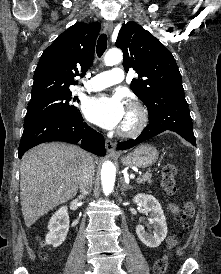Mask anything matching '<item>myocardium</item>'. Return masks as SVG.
<instances>
[{
    "label": "myocardium",
    "mask_w": 221,
    "mask_h": 274,
    "mask_svg": "<svg viewBox=\"0 0 221 274\" xmlns=\"http://www.w3.org/2000/svg\"><path fill=\"white\" fill-rule=\"evenodd\" d=\"M127 110L131 111L134 120L128 125H123L119 129V134L123 137H135L140 134L148 123V112L138 101H129Z\"/></svg>",
    "instance_id": "obj_1"
}]
</instances>
